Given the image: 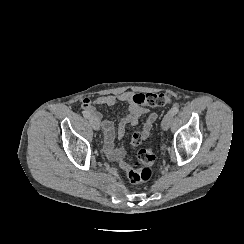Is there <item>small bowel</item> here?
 <instances>
[{
    "mask_svg": "<svg viewBox=\"0 0 244 244\" xmlns=\"http://www.w3.org/2000/svg\"><path fill=\"white\" fill-rule=\"evenodd\" d=\"M134 93L127 91L117 95H102L94 100L85 97L81 100V109L83 112H88L93 116L94 120L99 122L104 134V150L108 155L116 156L121 153L115 152V138H123L126 133L128 125L136 126L139 124L141 117H145L140 133L147 137L153 124L157 120V115L151 113L148 108L142 106L138 107L133 104L132 98ZM117 102L128 104L129 114L119 119L117 129L112 120L105 118L100 112L96 111L95 105L112 107Z\"/></svg>",
    "mask_w": 244,
    "mask_h": 244,
    "instance_id": "c3829d8e",
    "label": "small bowel"
}]
</instances>
